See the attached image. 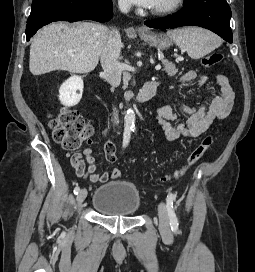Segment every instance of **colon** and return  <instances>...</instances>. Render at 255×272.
Wrapping results in <instances>:
<instances>
[{"instance_id": "colon-1", "label": "colon", "mask_w": 255, "mask_h": 272, "mask_svg": "<svg viewBox=\"0 0 255 272\" xmlns=\"http://www.w3.org/2000/svg\"><path fill=\"white\" fill-rule=\"evenodd\" d=\"M223 60L221 52H213L207 55L202 64L206 68H212ZM53 139L65 150L74 151L79 149L84 143H90L92 134L91 126L80 118L79 113L72 108H62L50 119ZM214 137L209 134L205 136L199 145H197L187 158L186 164L178 169L172 177L165 180L178 179L184 176L187 171L196 165L205 153L213 145ZM120 170L114 169L111 173L112 178L120 176Z\"/></svg>"}]
</instances>
